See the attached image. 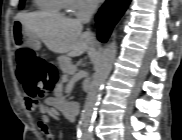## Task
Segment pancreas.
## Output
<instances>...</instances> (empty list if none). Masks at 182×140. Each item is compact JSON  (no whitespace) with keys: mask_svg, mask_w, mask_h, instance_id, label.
I'll use <instances>...</instances> for the list:
<instances>
[{"mask_svg":"<svg viewBox=\"0 0 182 140\" xmlns=\"http://www.w3.org/2000/svg\"><path fill=\"white\" fill-rule=\"evenodd\" d=\"M59 66L65 75H69L73 69L76 67L72 64L69 57L63 56L58 59Z\"/></svg>","mask_w":182,"mask_h":140,"instance_id":"obj_1","label":"pancreas"}]
</instances>
